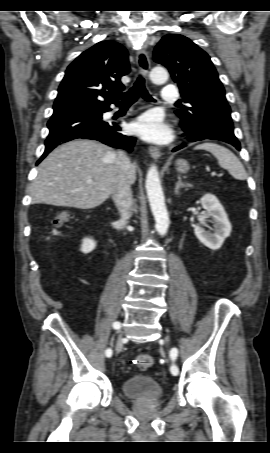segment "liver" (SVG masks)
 Instances as JSON below:
<instances>
[{"mask_svg":"<svg viewBox=\"0 0 270 453\" xmlns=\"http://www.w3.org/2000/svg\"><path fill=\"white\" fill-rule=\"evenodd\" d=\"M114 155L111 148L92 140H73L56 148L39 165L30 190L32 203L78 209L100 206L112 195ZM135 179L132 165L130 184Z\"/></svg>","mask_w":270,"mask_h":453,"instance_id":"1","label":"liver"}]
</instances>
